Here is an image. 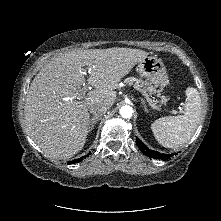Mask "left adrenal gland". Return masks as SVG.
Returning <instances> with one entry per match:
<instances>
[{"mask_svg":"<svg viewBox=\"0 0 221 221\" xmlns=\"http://www.w3.org/2000/svg\"><path fill=\"white\" fill-rule=\"evenodd\" d=\"M145 112H148L144 99H141Z\"/></svg>","mask_w":221,"mask_h":221,"instance_id":"left-adrenal-gland-1","label":"left adrenal gland"}]
</instances>
